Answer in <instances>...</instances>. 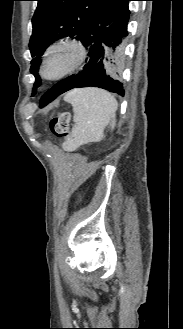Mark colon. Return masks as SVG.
Wrapping results in <instances>:
<instances>
[{
  "mask_svg": "<svg viewBox=\"0 0 183 329\" xmlns=\"http://www.w3.org/2000/svg\"><path fill=\"white\" fill-rule=\"evenodd\" d=\"M71 115L69 112L62 111L55 114L50 120V129L57 138H64L68 134ZM73 217L78 215L76 210L71 212Z\"/></svg>",
  "mask_w": 183,
  "mask_h": 329,
  "instance_id": "5ec220e1",
  "label": "colon"
}]
</instances>
